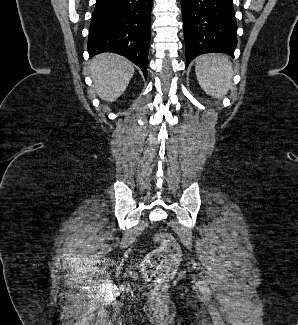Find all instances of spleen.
Returning a JSON list of instances; mask_svg holds the SVG:
<instances>
[{
	"instance_id": "1",
	"label": "spleen",
	"mask_w": 298,
	"mask_h": 325,
	"mask_svg": "<svg viewBox=\"0 0 298 325\" xmlns=\"http://www.w3.org/2000/svg\"><path fill=\"white\" fill-rule=\"evenodd\" d=\"M197 80L204 92L213 98H223L227 94L233 68L224 54H202L197 56L195 64Z\"/></svg>"
}]
</instances>
